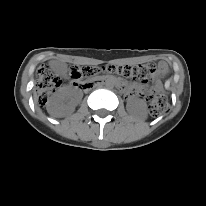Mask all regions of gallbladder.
<instances>
[{"mask_svg": "<svg viewBox=\"0 0 206 206\" xmlns=\"http://www.w3.org/2000/svg\"><path fill=\"white\" fill-rule=\"evenodd\" d=\"M59 68H62V69H59ZM65 65L64 64H57V65H54L53 67V71L58 73V74H62V72L65 70Z\"/></svg>", "mask_w": 206, "mask_h": 206, "instance_id": "bac80fb5", "label": "gallbladder"}]
</instances>
